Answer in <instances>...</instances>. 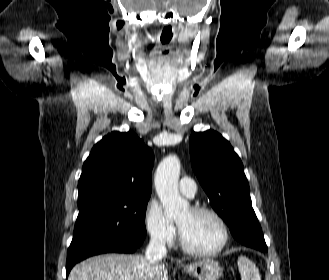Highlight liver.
Segmentation results:
<instances>
[{
  "label": "liver",
  "instance_id": "obj_1",
  "mask_svg": "<svg viewBox=\"0 0 329 280\" xmlns=\"http://www.w3.org/2000/svg\"><path fill=\"white\" fill-rule=\"evenodd\" d=\"M68 280H168L166 263L141 255L105 254L77 264Z\"/></svg>",
  "mask_w": 329,
  "mask_h": 280
}]
</instances>
